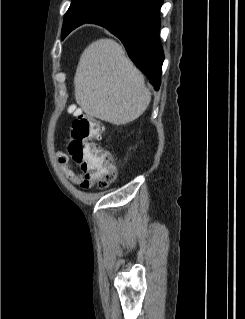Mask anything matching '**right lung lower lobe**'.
<instances>
[{
  "mask_svg": "<svg viewBox=\"0 0 245 319\" xmlns=\"http://www.w3.org/2000/svg\"><path fill=\"white\" fill-rule=\"evenodd\" d=\"M163 0H128L88 23L101 25L117 36L135 65L159 89L164 61L159 39V12Z\"/></svg>",
  "mask_w": 245,
  "mask_h": 319,
  "instance_id": "1",
  "label": "right lung lower lobe"
}]
</instances>
